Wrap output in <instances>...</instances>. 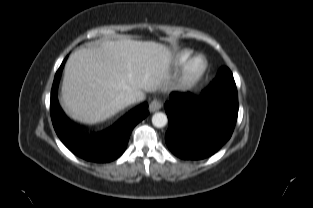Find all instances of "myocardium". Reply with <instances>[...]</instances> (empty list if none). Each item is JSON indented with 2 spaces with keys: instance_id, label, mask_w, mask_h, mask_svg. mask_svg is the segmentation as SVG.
Returning <instances> with one entry per match:
<instances>
[{
  "instance_id": "f54148a6",
  "label": "myocardium",
  "mask_w": 313,
  "mask_h": 208,
  "mask_svg": "<svg viewBox=\"0 0 313 208\" xmlns=\"http://www.w3.org/2000/svg\"><path fill=\"white\" fill-rule=\"evenodd\" d=\"M206 70L207 61L205 57L202 55L193 56L181 68L175 81V87L182 91L195 89L204 77Z\"/></svg>"
}]
</instances>
